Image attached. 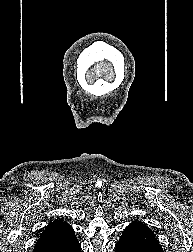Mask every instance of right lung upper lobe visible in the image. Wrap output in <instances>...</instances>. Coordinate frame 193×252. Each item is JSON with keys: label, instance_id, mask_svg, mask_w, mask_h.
Here are the masks:
<instances>
[{"label": "right lung upper lobe", "instance_id": "cb5924a9", "mask_svg": "<svg viewBox=\"0 0 193 252\" xmlns=\"http://www.w3.org/2000/svg\"><path fill=\"white\" fill-rule=\"evenodd\" d=\"M72 229L67 223H65L62 220H55L54 222H51L41 233L40 238L38 241L45 239L52 234L57 233L58 231H65Z\"/></svg>", "mask_w": 193, "mask_h": 252}]
</instances>
